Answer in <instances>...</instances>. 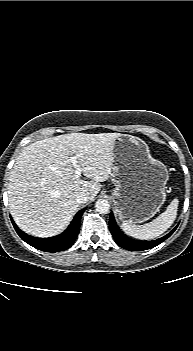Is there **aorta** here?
Here are the masks:
<instances>
[{
    "mask_svg": "<svg viewBox=\"0 0 193 351\" xmlns=\"http://www.w3.org/2000/svg\"><path fill=\"white\" fill-rule=\"evenodd\" d=\"M95 208L100 214H106L110 210V204L106 199H98L95 203Z\"/></svg>",
    "mask_w": 193,
    "mask_h": 351,
    "instance_id": "obj_1",
    "label": "aorta"
}]
</instances>
